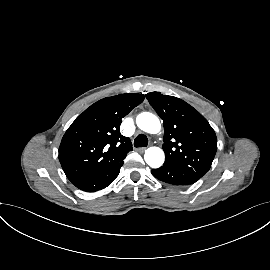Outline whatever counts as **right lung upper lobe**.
Returning a JSON list of instances; mask_svg holds the SVG:
<instances>
[{
	"label": "right lung upper lobe",
	"instance_id": "obj_1",
	"mask_svg": "<svg viewBox=\"0 0 270 270\" xmlns=\"http://www.w3.org/2000/svg\"><path fill=\"white\" fill-rule=\"evenodd\" d=\"M143 100V94L107 97L75 119L59 147L61 166L71 182L113 170L123 163L132 143L120 134L121 120Z\"/></svg>",
	"mask_w": 270,
	"mask_h": 270
}]
</instances>
